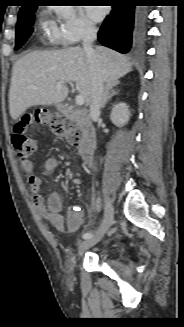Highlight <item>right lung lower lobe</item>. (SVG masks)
Masks as SVG:
<instances>
[{
    "label": "right lung lower lobe",
    "mask_w": 184,
    "mask_h": 327,
    "mask_svg": "<svg viewBox=\"0 0 184 327\" xmlns=\"http://www.w3.org/2000/svg\"><path fill=\"white\" fill-rule=\"evenodd\" d=\"M146 15L133 5H114L98 32V41L120 53L140 47L146 35Z\"/></svg>",
    "instance_id": "1"
}]
</instances>
